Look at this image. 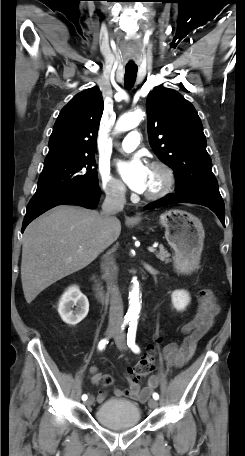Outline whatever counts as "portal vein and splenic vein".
<instances>
[{
    "label": "portal vein and splenic vein",
    "instance_id": "18ae733b",
    "mask_svg": "<svg viewBox=\"0 0 245 456\" xmlns=\"http://www.w3.org/2000/svg\"><path fill=\"white\" fill-rule=\"evenodd\" d=\"M148 251L153 253L155 251V248L154 247H148Z\"/></svg>",
    "mask_w": 245,
    "mask_h": 456
}]
</instances>
